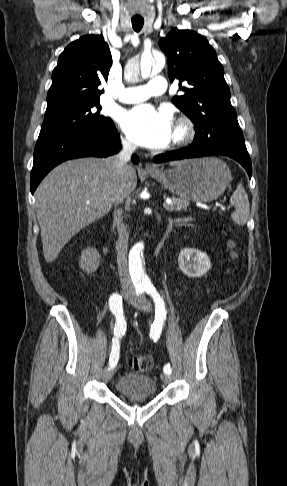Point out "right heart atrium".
<instances>
[{
	"label": "right heart atrium",
	"mask_w": 287,
	"mask_h": 486,
	"mask_svg": "<svg viewBox=\"0 0 287 486\" xmlns=\"http://www.w3.org/2000/svg\"><path fill=\"white\" fill-rule=\"evenodd\" d=\"M122 142H123V144H124L126 147H131V146H132V145H131V143H130L128 140H126V139H123V140H122Z\"/></svg>",
	"instance_id": "obj_1"
}]
</instances>
